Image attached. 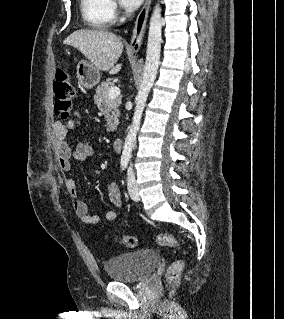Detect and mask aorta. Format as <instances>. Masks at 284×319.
<instances>
[{"instance_id": "762f6f07", "label": "aorta", "mask_w": 284, "mask_h": 319, "mask_svg": "<svg viewBox=\"0 0 284 319\" xmlns=\"http://www.w3.org/2000/svg\"><path fill=\"white\" fill-rule=\"evenodd\" d=\"M162 42V21L161 8L157 4L150 18L149 33L147 41L146 60L141 85L136 96V107L132 124L125 139L121 158L129 160L132 156V149L136 142L137 132L140 127L143 110L149 92L154 84L160 64V52Z\"/></svg>"}]
</instances>
